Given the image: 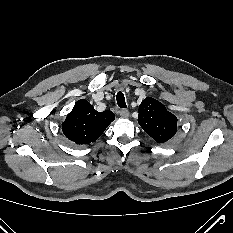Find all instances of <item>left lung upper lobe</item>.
Returning <instances> with one entry per match:
<instances>
[{
    "mask_svg": "<svg viewBox=\"0 0 233 233\" xmlns=\"http://www.w3.org/2000/svg\"><path fill=\"white\" fill-rule=\"evenodd\" d=\"M138 123L159 143L171 139L177 132V118L154 98L147 97L139 105Z\"/></svg>",
    "mask_w": 233,
    "mask_h": 233,
    "instance_id": "1",
    "label": "left lung upper lobe"
}]
</instances>
